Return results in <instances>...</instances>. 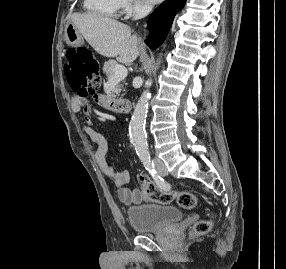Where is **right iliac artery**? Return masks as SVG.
<instances>
[{
	"label": "right iliac artery",
	"instance_id": "82829eb1",
	"mask_svg": "<svg viewBox=\"0 0 286 269\" xmlns=\"http://www.w3.org/2000/svg\"><path fill=\"white\" fill-rule=\"evenodd\" d=\"M142 162L145 166V168L149 171V173H151L153 179L155 180V182L160 186V187H165V182L164 179L157 174L156 170H155V165L154 162L149 158H143Z\"/></svg>",
	"mask_w": 286,
	"mask_h": 269
}]
</instances>
